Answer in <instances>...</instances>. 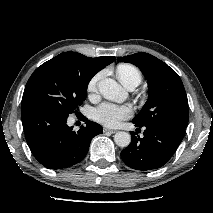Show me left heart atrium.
Wrapping results in <instances>:
<instances>
[{"mask_svg": "<svg viewBox=\"0 0 213 213\" xmlns=\"http://www.w3.org/2000/svg\"><path fill=\"white\" fill-rule=\"evenodd\" d=\"M132 115V108L129 105H118L104 102L92 111L95 121L108 126L116 127L121 121L128 119Z\"/></svg>", "mask_w": 213, "mask_h": 213, "instance_id": "39dd6f15", "label": "left heart atrium"}]
</instances>
